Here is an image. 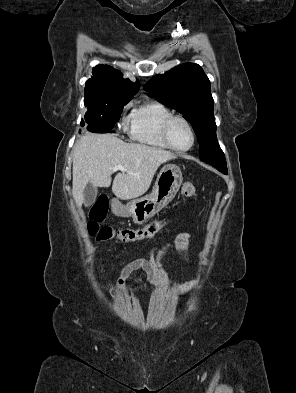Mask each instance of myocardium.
<instances>
[{"mask_svg":"<svg viewBox=\"0 0 296 393\" xmlns=\"http://www.w3.org/2000/svg\"><path fill=\"white\" fill-rule=\"evenodd\" d=\"M176 120H181V121H183V122L187 125V127L189 128V130H190V133H191V136H192V141H191V144H190L187 148H179V147L175 146V145L172 143L171 139H170V135H169L170 127H171L172 123H173L174 121H176ZM162 137H163L164 142H165L171 149H173V150H175V151H177V152H186V151H189V150H191V149L194 147V145H195V143H196V133H195V130H194V127H193L192 123H191L186 117H184V116H182V115H178V114H172L171 116H169V117L165 120V122H164V124H163V126H162Z\"/></svg>","mask_w":296,"mask_h":393,"instance_id":"f54148a6","label":"myocardium"}]
</instances>
